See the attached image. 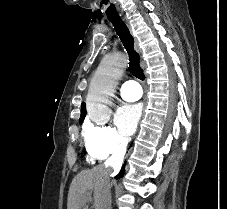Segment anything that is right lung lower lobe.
I'll return each instance as SVG.
<instances>
[{"label":"right lung lower lobe","mask_w":227,"mask_h":209,"mask_svg":"<svg viewBox=\"0 0 227 209\" xmlns=\"http://www.w3.org/2000/svg\"><path fill=\"white\" fill-rule=\"evenodd\" d=\"M123 168H124V167H123ZM123 168H122L121 172L119 173V177L122 176V175L124 174Z\"/></svg>","instance_id":"obj_1"}]
</instances>
